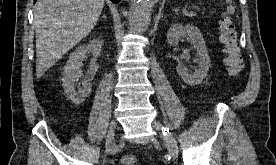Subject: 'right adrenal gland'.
I'll return each mask as SVG.
<instances>
[{
  "label": "right adrenal gland",
  "mask_w": 276,
  "mask_h": 165,
  "mask_svg": "<svg viewBox=\"0 0 276 165\" xmlns=\"http://www.w3.org/2000/svg\"><path fill=\"white\" fill-rule=\"evenodd\" d=\"M102 18L106 19L107 17H106V15H105V14H103Z\"/></svg>",
  "instance_id": "obj_1"
}]
</instances>
